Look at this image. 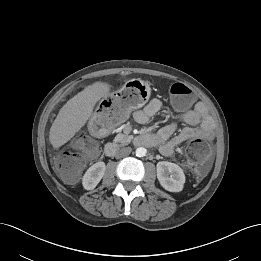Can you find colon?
I'll use <instances>...</instances> for the list:
<instances>
[{
    "label": "colon",
    "instance_id": "obj_1",
    "mask_svg": "<svg viewBox=\"0 0 261 261\" xmlns=\"http://www.w3.org/2000/svg\"><path fill=\"white\" fill-rule=\"evenodd\" d=\"M170 93L174 104L180 108L188 107L193 97L189 87L182 83L173 84ZM109 101L114 104L117 102V98H109ZM124 116L125 114L122 111H118L112 116L104 114L95 120L94 125L101 134H106L110 127L121 121ZM97 150L96 137L88 133H81L73 141L72 151L59 154L54 161V166L61 178L66 183L72 184L82 172L86 159L94 157ZM187 153L191 160L206 159L209 154V147L204 141L194 139L188 144Z\"/></svg>",
    "mask_w": 261,
    "mask_h": 261
}]
</instances>
